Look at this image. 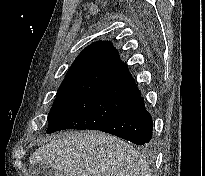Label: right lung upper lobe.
<instances>
[{
	"label": "right lung upper lobe",
	"mask_w": 205,
	"mask_h": 176,
	"mask_svg": "<svg viewBox=\"0 0 205 176\" xmlns=\"http://www.w3.org/2000/svg\"><path fill=\"white\" fill-rule=\"evenodd\" d=\"M98 92L131 100L140 91L109 41L87 46L69 68L57 96Z\"/></svg>",
	"instance_id": "1"
}]
</instances>
